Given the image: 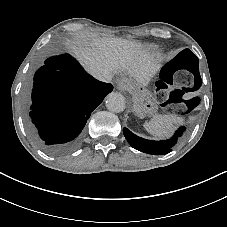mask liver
Here are the masks:
<instances>
[{"mask_svg":"<svg viewBox=\"0 0 227 227\" xmlns=\"http://www.w3.org/2000/svg\"><path fill=\"white\" fill-rule=\"evenodd\" d=\"M67 49L84 69L96 76L105 71H127L139 85L146 86L151 76L161 67L160 54L138 41L122 38L78 39Z\"/></svg>","mask_w":227,"mask_h":227,"instance_id":"1","label":"liver"}]
</instances>
